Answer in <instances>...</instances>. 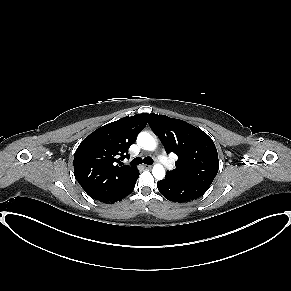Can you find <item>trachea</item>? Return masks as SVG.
I'll list each match as a JSON object with an SVG mask.
<instances>
[{
  "label": "trachea",
  "instance_id": "obj_1",
  "mask_svg": "<svg viewBox=\"0 0 291 291\" xmlns=\"http://www.w3.org/2000/svg\"><path fill=\"white\" fill-rule=\"evenodd\" d=\"M147 164V165H152L153 164V159L151 157H145L143 160L140 157L134 158L131 161V165H139V164Z\"/></svg>",
  "mask_w": 291,
  "mask_h": 291
}]
</instances>
